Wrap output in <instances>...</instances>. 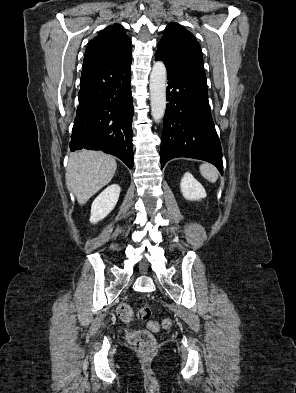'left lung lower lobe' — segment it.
<instances>
[{"label":"left lung lower lobe","instance_id":"left-lung-lower-lobe-1","mask_svg":"<svg viewBox=\"0 0 296 393\" xmlns=\"http://www.w3.org/2000/svg\"><path fill=\"white\" fill-rule=\"evenodd\" d=\"M166 68L169 103L164 116L161 168L172 158L189 157L212 163L222 174L221 145L210 112L205 74Z\"/></svg>","mask_w":296,"mask_h":393}]
</instances>
